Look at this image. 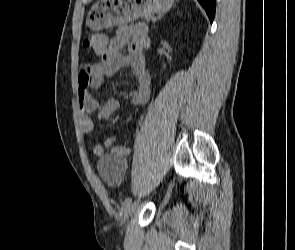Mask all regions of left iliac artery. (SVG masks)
Listing matches in <instances>:
<instances>
[{
	"instance_id": "obj_1",
	"label": "left iliac artery",
	"mask_w": 295,
	"mask_h": 250,
	"mask_svg": "<svg viewBox=\"0 0 295 250\" xmlns=\"http://www.w3.org/2000/svg\"><path fill=\"white\" fill-rule=\"evenodd\" d=\"M132 202V198L128 197L124 200L123 204H122V210H124L127 206H129Z\"/></svg>"
}]
</instances>
